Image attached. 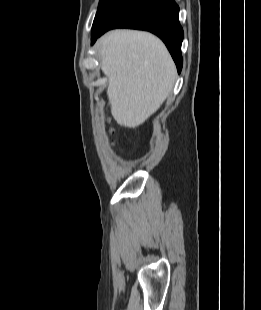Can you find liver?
I'll use <instances>...</instances> for the list:
<instances>
[{
	"label": "liver",
	"instance_id": "liver-1",
	"mask_svg": "<svg viewBox=\"0 0 261 310\" xmlns=\"http://www.w3.org/2000/svg\"><path fill=\"white\" fill-rule=\"evenodd\" d=\"M99 46L112 115L120 125L136 128L170 94L175 64L163 42L148 32L113 30L100 38Z\"/></svg>",
	"mask_w": 261,
	"mask_h": 310
}]
</instances>
